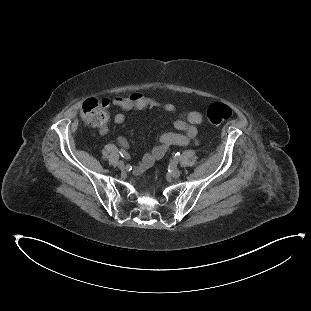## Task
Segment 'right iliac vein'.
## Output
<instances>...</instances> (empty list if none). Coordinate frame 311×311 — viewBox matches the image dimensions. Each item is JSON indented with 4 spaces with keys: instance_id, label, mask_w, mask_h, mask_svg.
Returning a JSON list of instances; mask_svg holds the SVG:
<instances>
[{
    "instance_id": "1",
    "label": "right iliac vein",
    "mask_w": 311,
    "mask_h": 311,
    "mask_svg": "<svg viewBox=\"0 0 311 311\" xmlns=\"http://www.w3.org/2000/svg\"><path fill=\"white\" fill-rule=\"evenodd\" d=\"M118 167H119V169L124 170L125 169V163L123 161L118 162Z\"/></svg>"
}]
</instances>
